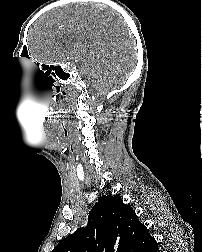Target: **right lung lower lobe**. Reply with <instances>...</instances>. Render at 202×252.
<instances>
[{
	"label": "right lung lower lobe",
	"mask_w": 202,
	"mask_h": 252,
	"mask_svg": "<svg viewBox=\"0 0 202 252\" xmlns=\"http://www.w3.org/2000/svg\"><path fill=\"white\" fill-rule=\"evenodd\" d=\"M148 252H160L157 243H156L155 245H153V246L151 247V249L148 250Z\"/></svg>",
	"instance_id": "98d812e1"
}]
</instances>
